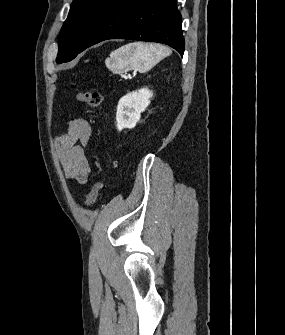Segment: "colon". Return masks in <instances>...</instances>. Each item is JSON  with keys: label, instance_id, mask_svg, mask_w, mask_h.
Wrapping results in <instances>:
<instances>
[{"label": "colon", "instance_id": "obj_1", "mask_svg": "<svg viewBox=\"0 0 285 335\" xmlns=\"http://www.w3.org/2000/svg\"><path fill=\"white\" fill-rule=\"evenodd\" d=\"M77 100L86 104L91 108H98L103 102V95L96 91H79L76 95ZM102 183L99 180H95L89 193L86 197V206L92 207L95 205L102 189Z\"/></svg>", "mask_w": 285, "mask_h": 335}]
</instances>
